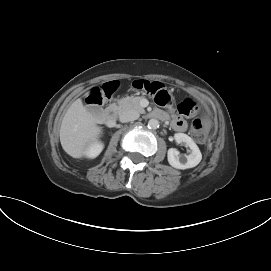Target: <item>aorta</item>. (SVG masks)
<instances>
[{"label": "aorta", "instance_id": "aorta-1", "mask_svg": "<svg viewBox=\"0 0 271 271\" xmlns=\"http://www.w3.org/2000/svg\"><path fill=\"white\" fill-rule=\"evenodd\" d=\"M148 127L151 129H157L159 127V121L157 119H150L148 121Z\"/></svg>", "mask_w": 271, "mask_h": 271}]
</instances>
